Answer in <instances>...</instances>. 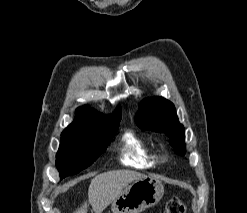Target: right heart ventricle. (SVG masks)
<instances>
[{"mask_svg":"<svg viewBox=\"0 0 247 213\" xmlns=\"http://www.w3.org/2000/svg\"><path fill=\"white\" fill-rule=\"evenodd\" d=\"M120 160L122 164L136 169L153 168L158 163L151 144L134 131H126L122 135Z\"/></svg>","mask_w":247,"mask_h":213,"instance_id":"obj_1","label":"right heart ventricle"}]
</instances>
